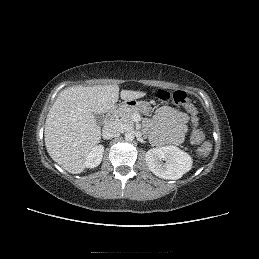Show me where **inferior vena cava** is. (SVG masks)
<instances>
[{
  "mask_svg": "<svg viewBox=\"0 0 259 259\" xmlns=\"http://www.w3.org/2000/svg\"><path fill=\"white\" fill-rule=\"evenodd\" d=\"M122 132V128L118 123L111 122L104 126L103 136L106 139L113 138Z\"/></svg>",
  "mask_w": 259,
  "mask_h": 259,
  "instance_id": "obj_1",
  "label": "inferior vena cava"
}]
</instances>
